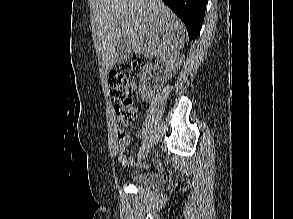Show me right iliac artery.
Returning <instances> with one entry per match:
<instances>
[{
	"instance_id": "obj_1",
	"label": "right iliac artery",
	"mask_w": 293,
	"mask_h": 219,
	"mask_svg": "<svg viewBox=\"0 0 293 219\" xmlns=\"http://www.w3.org/2000/svg\"><path fill=\"white\" fill-rule=\"evenodd\" d=\"M146 144H147V142H146V140H145V141L142 143V146H141L140 149L144 148V147L146 146Z\"/></svg>"
}]
</instances>
